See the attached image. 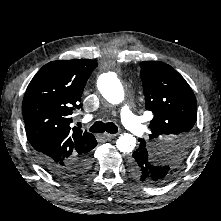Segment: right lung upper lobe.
Instances as JSON below:
<instances>
[{
  "instance_id": "1",
  "label": "right lung upper lobe",
  "mask_w": 221,
  "mask_h": 221,
  "mask_svg": "<svg viewBox=\"0 0 221 221\" xmlns=\"http://www.w3.org/2000/svg\"><path fill=\"white\" fill-rule=\"evenodd\" d=\"M95 60H59L44 65L26 89L22 111L28 140L44 158L70 163L97 145L93 134L71 128L72 113L79 109L81 95Z\"/></svg>"
}]
</instances>
